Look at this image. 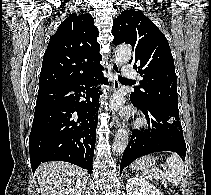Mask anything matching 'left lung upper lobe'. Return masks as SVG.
I'll return each mask as SVG.
<instances>
[{"instance_id":"5c2ea615","label":"left lung upper lobe","mask_w":211,"mask_h":195,"mask_svg":"<svg viewBox=\"0 0 211 195\" xmlns=\"http://www.w3.org/2000/svg\"><path fill=\"white\" fill-rule=\"evenodd\" d=\"M113 44L127 43L134 50L129 63L143 80L131 97L142 104L158 105L179 114L177 77L169 43L164 34L142 12L125 10L113 20Z\"/></svg>"}]
</instances>
